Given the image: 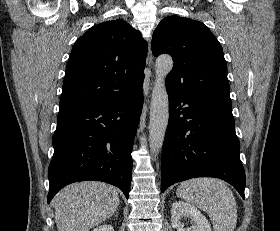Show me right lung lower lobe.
<instances>
[{"label": "right lung lower lobe", "mask_w": 280, "mask_h": 231, "mask_svg": "<svg viewBox=\"0 0 280 231\" xmlns=\"http://www.w3.org/2000/svg\"><path fill=\"white\" fill-rule=\"evenodd\" d=\"M142 106L141 88L128 97L58 116L48 203L64 186L84 180L110 183L128 198L131 152Z\"/></svg>", "instance_id": "1"}]
</instances>
